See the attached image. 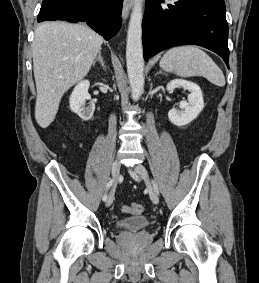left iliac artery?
I'll list each match as a JSON object with an SVG mask.
<instances>
[{
    "mask_svg": "<svg viewBox=\"0 0 259 283\" xmlns=\"http://www.w3.org/2000/svg\"><path fill=\"white\" fill-rule=\"evenodd\" d=\"M152 183H153V187H154L155 191L157 192V194H159V191H158L157 185L155 184V182H154V181H152Z\"/></svg>",
    "mask_w": 259,
    "mask_h": 283,
    "instance_id": "44dca946",
    "label": "left iliac artery"
}]
</instances>
